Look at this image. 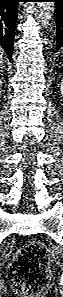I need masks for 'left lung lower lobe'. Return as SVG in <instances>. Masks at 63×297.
Segmentation results:
<instances>
[{
    "instance_id": "1",
    "label": "left lung lower lobe",
    "mask_w": 63,
    "mask_h": 297,
    "mask_svg": "<svg viewBox=\"0 0 63 297\" xmlns=\"http://www.w3.org/2000/svg\"><path fill=\"white\" fill-rule=\"evenodd\" d=\"M56 2V51L63 47V0H51Z\"/></svg>"
}]
</instances>
